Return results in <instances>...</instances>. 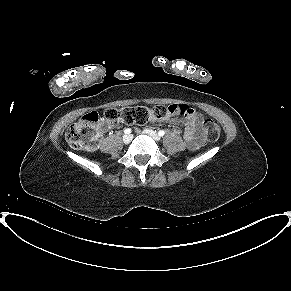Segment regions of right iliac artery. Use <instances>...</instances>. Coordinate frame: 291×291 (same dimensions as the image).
Here are the masks:
<instances>
[{
    "label": "right iliac artery",
    "instance_id": "1",
    "mask_svg": "<svg viewBox=\"0 0 291 291\" xmlns=\"http://www.w3.org/2000/svg\"><path fill=\"white\" fill-rule=\"evenodd\" d=\"M124 133H125V134H130V133H131V129H130V128L125 129V130H124Z\"/></svg>",
    "mask_w": 291,
    "mask_h": 291
}]
</instances>
